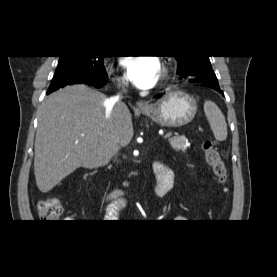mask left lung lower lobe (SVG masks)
<instances>
[{"label": "left lung lower lobe", "mask_w": 277, "mask_h": 277, "mask_svg": "<svg viewBox=\"0 0 277 277\" xmlns=\"http://www.w3.org/2000/svg\"><path fill=\"white\" fill-rule=\"evenodd\" d=\"M190 81L206 83L210 88L222 93L216 76H199L191 78Z\"/></svg>", "instance_id": "obj_1"}]
</instances>
